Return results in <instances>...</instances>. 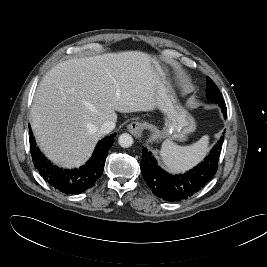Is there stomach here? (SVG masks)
Instances as JSON below:
<instances>
[{"mask_svg":"<svg viewBox=\"0 0 267 267\" xmlns=\"http://www.w3.org/2000/svg\"><path fill=\"white\" fill-rule=\"evenodd\" d=\"M152 64L159 80L155 91L157 108L166 116L161 135L170 140H185L196 129L195 120L180 104L170 84L168 68L155 58H152Z\"/></svg>","mask_w":267,"mask_h":267,"instance_id":"0dacf381","label":"stomach"}]
</instances>
